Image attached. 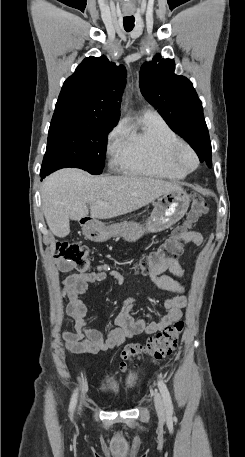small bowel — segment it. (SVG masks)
I'll return each mask as SVG.
<instances>
[{
    "label": "small bowel",
    "mask_w": 245,
    "mask_h": 457,
    "mask_svg": "<svg viewBox=\"0 0 245 457\" xmlns=\"http://www.w3.org/2000/svg\"><path fill=\"white\" fill-rule=\"evenodd\" d=\"M182 243L200 245L202 235L196 231L185 230L182 234ZM55 265L61 272H69L74 269L72 263L61 259H56ZM166 272L171 275L166 274ZM107 276L112 277L119 284L124 280L118 271L101 268L72 274L62 281V293L68 299L66 313L74 320V331H63L62 337L67 349L73 353L97 354L100 351L114 349L126 339L136 335L162 331L181 318L187 305V298L184 295L185 289L179 281L185 276L184 269L175 258L167 259L150 272V278L158 288L176 294L175 297L164 302L166 314L157 322H147L144 319L136 320L131 316L135 300L128 298L122 303L119 312L114 317L115 327L104 338L100 331L87 327V308L82 301V295L90 283L101 282Z\"/></svg>",
    "instance_id": "small-bowel-1"
}]
</instances>
